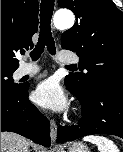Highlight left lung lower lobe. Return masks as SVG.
<instances>
[{"mask_svg":"<svg viewBox=\"0 0 123 152\" xmlns=\"http://www.w3.org/2000/svg\"><path fill=\"white\" fill-rule=\"evenodd\" d=\"M66 87L81 102L82 119L77 126L59 127L57 142L73 141L94 134L123 138V84L99 85L86 96Z\"/></svg>","mask_w":123,"mask_h":152,"instance_id":"0a47b994","label":"left lung lower lobe"}]
</instances>
